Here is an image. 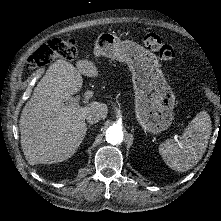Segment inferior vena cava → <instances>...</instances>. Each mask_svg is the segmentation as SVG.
<instances>
[{
    "mask_svg": "<svg viewBox=\"0 0 221 221\" xmlns=\"http://www.w3.org/2000/svg\"><path fill=\"white\" fill-rule=\"evenodd\" d=\"M103 118V114L100 112H91L86 115L85 119L89 124H95Z\"/></svg>",
    "mask_w": 221,
    "mask_h": 221,
    "instance_id": "obj_1",
    "label": "inferior vena cava"
}]
</instances>
